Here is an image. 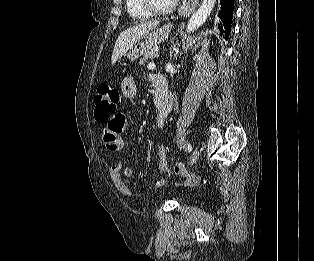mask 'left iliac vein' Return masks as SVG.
<instances>
[{"label":"left iliac vein","instance_id":"1","mask_svg":"<svg viewBox=\"0 0 314 261\" xmlns=\"http://www.w3.org/2000/svg\"><path fill=\"white\" fill-rule=\"evenodd\" d=\"M198 158H199V150L195 149L193 153L191 154L190 165H193L194 163H196Z\"/></svg>","mask_w":314,"mask_h":261}]
</instances>
